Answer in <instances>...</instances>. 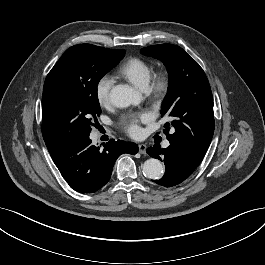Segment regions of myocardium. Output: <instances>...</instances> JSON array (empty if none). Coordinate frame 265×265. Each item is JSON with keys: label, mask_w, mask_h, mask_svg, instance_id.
Returning <instances> with one entry per match:
<instances>
[{"label": "myocardium", "mask_w": 265, "mask_h": 265, "mask_svg": "<svg viewBox=\"0 0 265 265\" xmlns=\"http://www.w3.org/2000/svg\"><path fill=\"white\" fill-rule=\"evenodd\" d=\"M171 88V76L168 71H159L155 73L147 88L146 96L155 103H161L168 95Z\"/></svg>", "instance_id": "1"}]
</instances>
